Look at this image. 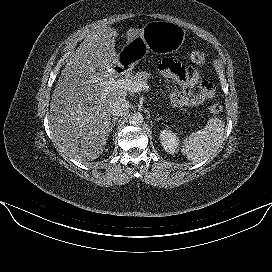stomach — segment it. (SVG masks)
<instances>
[{"mask_svg":"<svg viewBox=\"0 0 272 272\" xmlns=\"http://www.w3.org/2000/svg\"><path fill=\"white\" fill-rule=\"evenodd\" d=\"M185 40V30L174 22L151 21L142 33L131 42L126 43L120 56L121 66L133 67L151 50L164 54L178 50Z\"/></svg>","mask_w":272,"mask_h":272,"instance_id":"1","label":"stomach"}]
</instances>
